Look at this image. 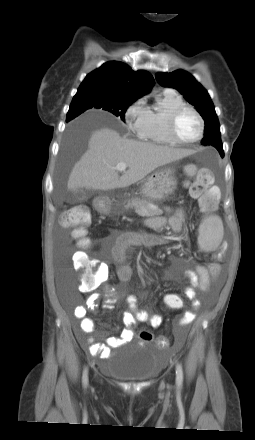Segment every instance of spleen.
Returning <instances> with one entry per match:
<instances>
[{
    "mask_svg": "<svg viewBox=\"0 0 255 440\" xmlns=\"http://www.w3.org/2000/svg\"><path fill=\"white\" fill-rule=\"evenodd\" d=\"M198 244L203 251L215 250L223 238V224L218 216L205 218L199 226Z\"/></svg>",
    "mask_w": 255,
    "mask_h": 440,
    "instance_id": "spleen-1",
    "label": "spleen"
}]
</instances>
